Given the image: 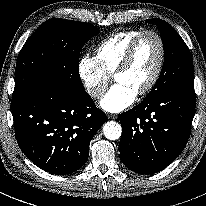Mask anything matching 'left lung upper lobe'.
<instances>
[{
  "mask_svg": "<svg viewBox=\"0 0 206 206\" xmlns=\"http://www.w3.org/2000/svg\"><path fill=\"white\" fill-rule=\"evenodd\" d=\"M146 21L160 28L165 57L159 79L143 101H149L177 90H194L193 62L189 49L181 36L170 24L161 19Z\"/></svg>",
  "mask_w": 206,
  "mask_h": 206,
  "instance_id": "left-lung-upper-lobe-1",
  "label": "left lung upper lobe"
}]
</instances>
